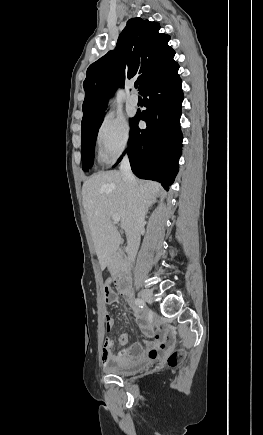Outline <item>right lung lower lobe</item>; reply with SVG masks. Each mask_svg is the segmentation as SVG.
<instances>
[{
  "label": "right lung lower lobe",
  "instance_id": "right-lung-lower-lobe-1",
  "mask_svg": "<svg viewBox=\"0 0 263 435\" xmlns=\"http://www.w3.org/2000/svg\"><path fill=\"white\" fill-rule=\"evenodd\" d=\"M178 69L175 63L142 91L147 109L131 120L127 150L133 173L158 181L167 190L179 169L183 139L179 121L183 92ZM140 120L146 122V129L138 128Z\"/></svg>",
  "mask_w": 263,
  "mask_h": 435
}]
</instances>
